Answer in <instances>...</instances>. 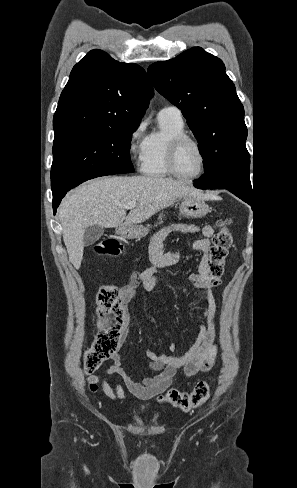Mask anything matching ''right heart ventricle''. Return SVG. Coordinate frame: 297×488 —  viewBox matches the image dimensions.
Listing matches in <instances>:
<instances>
[{
	"label": "right heart ventricle",
	"instance_id": "1",
	"mask_svg": "<svg viewBox=\"0 0 297 488\" xmlns=\"http://www.w3.org/2000/svg\"><path fill=\"white\" fill-rule=\"evenodd\" d=\"M181 134H185L183 119L159 116L158 129L146 136L145 149L140 161L141 172L153 177L171 176L166 164L167 148L169 142Z\"/></svg>",
	"mask_w": 297,
	"mask_h": 488
}]
</instances>
